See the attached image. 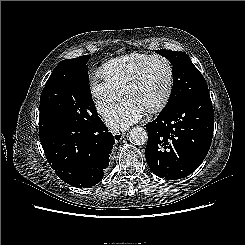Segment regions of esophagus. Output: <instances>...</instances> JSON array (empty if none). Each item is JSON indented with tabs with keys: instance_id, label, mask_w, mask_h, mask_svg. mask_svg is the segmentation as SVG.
<instances>
[{
	"instance_id": "esophagus-1",
	"label": "esophagus",
	"mask_w": 245,
	"mask_h": 245,
	"mask_svg": "<svg viewBox=\"0 0 245 245\" xmlns=\"http://www.w3.org/2000/svg\"><path fill=\"white\" fill-rule=\"evenodd\" d=\"M113 136H114L115 142H119V141H121L124 138L125 134L121 133V132H115L113 134Z\"/></svg>"
}]
</instances>
